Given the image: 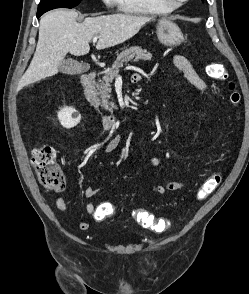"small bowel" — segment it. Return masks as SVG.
I'll return each instance as SVG.
<instances>
[{
	"label": "small bowel",
	"mask_w": 249,
	"mask_h": 294,
	"mask_svg": "<svg viewBox=\"0 0 249 294\" xmlns=\"http://www.w3.org/2000/svg\"><path fill=\"white\" fill-rule=\"evenodd\" d=\"M172 61L174 65L180 70L183 74L184 78L190 82L194 87H196L199 91L204 92L207 89L206 83L201 79L198 75L192 64L183 56L181 55H174L172 57ZM140 80V75L134 74L132 76L133 82H138ZM121 143L120 135L114 136L105 146V152L111 153L118 148ZM161 164V160L157 157H153L150 159V166L152 168H158ZM188 181H172L166 183H153L151 185V190L155 194L164 195L169 192L178 191L185 187ZM99 187L95 186H88L84 190V195L87 198L94 197L99 192ZM55 205L57 209L62 212H66L68 210V204L62 196H58L55 201ZM112 208V204L109 202H100L98 204L89 202L85 205V210L87 214L94 220V221H102L111 217L114 213L108 212V208ZM80 230H87L89 228V223L85 221H81L78 224Z\"/></svg>",
	"instance_id": "obj_1"
}]
</instances>
